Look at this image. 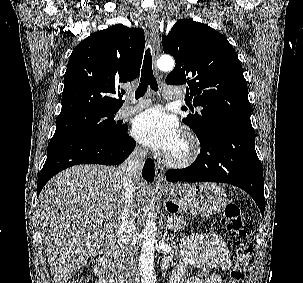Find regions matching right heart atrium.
I'll use <instances>...</instances> for the list:
<instances>
[{"mask_svg":"<svg viewBox=\"0 0 303 283\" xmlns=\"http://www.w3.org/2000/svg\"><path fill=\"white\" fill-rule=\"evenodd\" d=\"M135 152L138 153V154H144L145 149L141 145H136L135 146Z\"/></svg>","mask_w":303,"mask_h":283,"instance_id":"1","label":"right heart atrium"}]
</instances>
